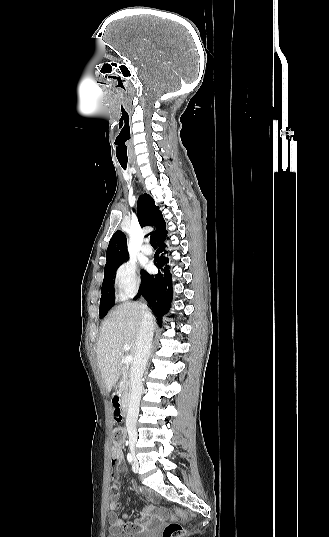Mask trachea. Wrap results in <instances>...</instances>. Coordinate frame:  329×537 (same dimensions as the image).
<instances>
[{"label": "trachea", "mask_w": 329, "mask_h": 537, "mask_svg": "<svg viewBox=\"0 0 329 537\" xmlns=\"http://www.w3.org/2000/svg\"><path fill=\"white\" fill-rule=\"evenodd\" d=\"M121 166L123 169H126L127 165L126 164H123L121 163ZM150 244L153 246V247H157V243H156V237L155 236H151L150 237Z\"/></svg>", "instance_id": "trachea-1"}]
</instances>
